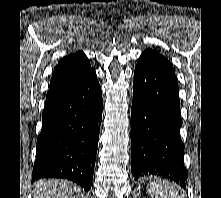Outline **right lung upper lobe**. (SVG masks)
<instances>
[{
  "label": "right lung upper lobe",
  "instance_id": "cb5924a9",
  "mask_svg": "<svg viewBox=\"0 0 221 198\" xmlns=\"http://www.w3.org/2000/svg\"><path fill=\"white\" fill-rule=\"evenodd\" d=\"M92 70L90 62L83 52L78 51L65 56L55 68L47 95L72 85Z\"/></svg>",
  "mask_w": 221,
  "mask_h": 198
}]
</instances>
